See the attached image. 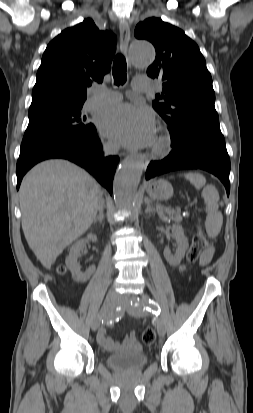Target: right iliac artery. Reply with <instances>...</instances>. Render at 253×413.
<instances>
[{
	"instance_id": "obj_1",
	"label": "right iliac artery",
	"mask_w": 253,
	"mask_h": 413,
	"mask_svg": "<svg viewBox=\"0 0 253 413\" xmlns=\"http://www.w3.org/2000/svg\"><path fill=\"white\" fill-rule=\"evenodd\" d=\"M124 314V311L121 308H117L111 315L102 318L101 315H98L100 320L103 322H107L108 324H112L114 321H118Z\"/></svg>"
}]
</instances>
